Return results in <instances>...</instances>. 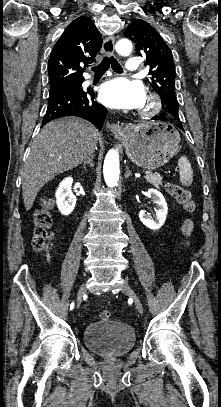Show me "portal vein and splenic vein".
Listing matches in <instances>:
<instances>
[{
  "instance_id": "1",
  "label": "portal vein and splenic vein",
  "mask_w": 221,
  "mask_h": 407,
  "mask_svg": "<svg viewBox=\"0 0 221 407\" xmlns=\"http://www.w3.org/2000/svg\"><path fill=\"white\" fill-rule=\"evenodd\" d=\"M150 174H152L151 171H146V172H145V175H146V176H148V175H150Z\"/></svg>"
}]
</instances>
